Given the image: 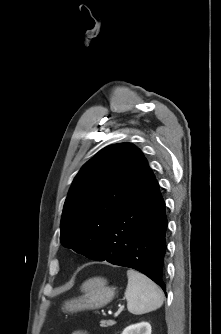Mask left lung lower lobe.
Wrapping results in <instances>:
<instances>
[{
    "label": "left lung lower lobe",
    "mask_w": 221,
    "mask_h": 334,
    "mask_svg": "<svg viewBox=\"0 0 221 334\" xmlns=\"http://www.w3.org/2000/svg\"><path fill=\"white\" fill-rule=\"evenodd\" d=\"M167 225L165 202L149 168L111 221L95 260L134 268L166 294L163 278Z\"/></svg>",
    "instance_id": "1"
}]
</instances>
